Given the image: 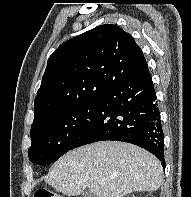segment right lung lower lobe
<instances>
[{
    "mask_svg": "<svg viewBox=\"0 0 191 197\" xmlns=\"http://www.w3.org/2000/svg\"><path fill=\"white\" fill-rule=\"evenodd\" d=\"M97 102L96 114L71 149L102 140L123 141L148 150L165 167L164 134L148 67L109 86Z\"/></svg>",
    "mask_w": 191,
    "mask_h": 197,
    "instance_id": "obj_1",
    "label": "right lung lower lobe"
}]
</instances>
